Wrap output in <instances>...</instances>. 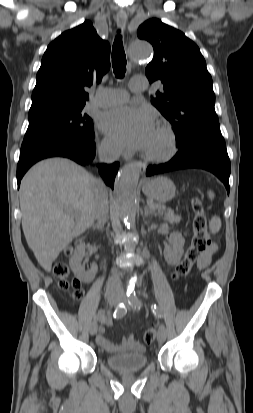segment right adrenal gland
Masks as SVG:
<instances>
[{
	"mask_svg": "<svg viewBox=\"0 0 253 413\" xmlns=\"http://www.w3.org/2000/svg\"><path fill=\"white\" fill-rule=\"evenodd\" d=\"M103 226H104V223H96L94 226H93V228L94 229H98V230H102L103 229Z\"/></svg>",
	"mask_w": 253,
	"mask_h": 413,
	"instance_id": "right-adrenal-gland-1",
	"label": "right adrenal gland"
}]
</instances>
